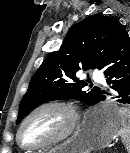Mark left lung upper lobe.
<instances>
[{
    "label": "left lung upper lobe",
    "instance_id": "left-lung-upper-lobe-1",
    "mask_svg": "<svg viewBox=\"0 0 130 153\" xmlns=\"http://www.w3.org/2000/svg\"><path fill=\"white\" fill-rule=\"evenodd\" d=\"M122 24L113 17L96 14L72 26L58 51L49 54L32 77L16 123L39 105L56 99H76L94 105L101 89L82 90L86 82L76 77L80 70H101Z\"/></svg>",
    "mask_w": 130,
    "mask_h": 153
}]
</instances>
